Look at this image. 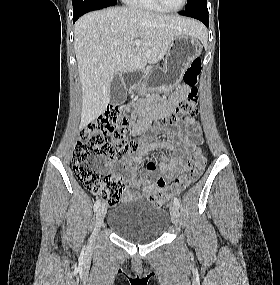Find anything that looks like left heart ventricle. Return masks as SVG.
I'll return each instance as SVG.
<instances>
[{"label":"left heart ventricle","mask_w":280,"mask_h":285,"mask_svg":"<svg viewBox=\"0 0 280 285\" xmlns=\"http://www.w3.org/2000/svg\"><path fill=\"white\" fill-rule=\"evenodd\" d=\"M183 0H163L164 4L169 8H177L181 5Z\"/></svg>","instance_id":"b2bd125f"}]
</instances>
